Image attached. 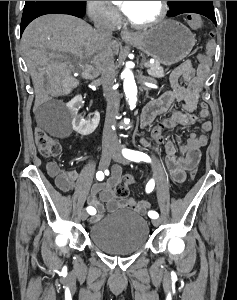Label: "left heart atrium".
I'll list each match as a JSON object with an SVG mask.
<instances>
[{
	"label": "left heart atrium",
	"instance_id": "left-heart-atrium-1",
	"mask_svg": "<svg viewBox=\"0 0 237 300\" xmlns=\"http://www.w3.org/2000/svg\"><path fill=\"white\" fill-rule=\"evenodd\" d=\"M133 3L134 1H122L120 8L125 14H127L130 11Z\"/></svg>",
	"mask_w": 237,
	"mask_h": 300
}]
</instances>
